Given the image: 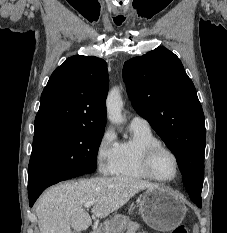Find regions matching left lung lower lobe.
<instances>
[{"label":"left lung lower lobe","instance_id":"obj_1","mask_svg":"<svg viewBox=\"0 0 227 233\" xmlns=\"http://www.w3.org/2000/svg\"><path fill=\"white\" fill-rule=\"evenodd\" d=\"M192 201L198 206H201V201H198L197 199H192Z\"/></svg>","mask_w":227,"mask_h":233}]
</instances>
